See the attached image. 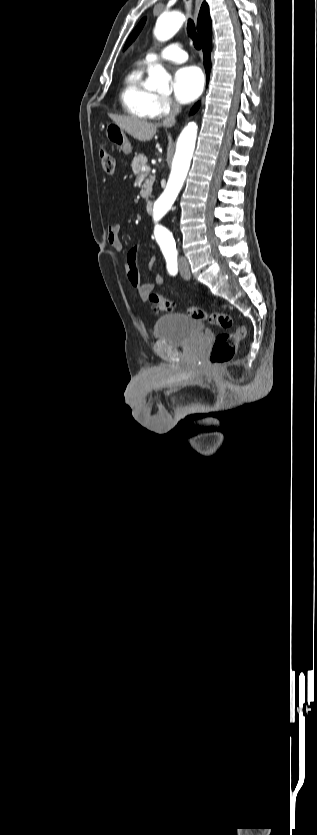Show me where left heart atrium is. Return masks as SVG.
<instances>
[{
  "label": "left heart atrium",
  "instance_id": "1",
  "mask_svg": "<svg viewBox=\"0 0 317 835\" xmlns=\"http://www.w3.org/2000/svg\"><path fill=\"white\" fill-rule=\"evenodd\" d=\"M204 78L201 70L196 66L179 68L173 79V90L176 99L181 103L195 100L202 92Z\"/></svg>",
  "mask_w": 317,
  "mask_h": 835
}]
</instances>
